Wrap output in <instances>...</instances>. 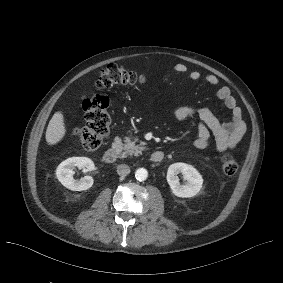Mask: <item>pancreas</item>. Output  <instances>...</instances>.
<instances>
[{"label": "pancreas", "mask_w": 283, "mask_h": 283, "mask_svg": "<svg viewBox=\"0 0 283 283\" xmlns=\"http://www.w3.org/2000/svg\"><path fill=\"white\" fill-rule=\"evenodd\" d=\"M125 151L129 155H135L141 154V151L145 149L143 146L135 145V142H133L130 138H125Z\"/></svg>", "instance_id": "cf45deb5"}]
</instances>
